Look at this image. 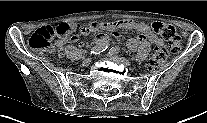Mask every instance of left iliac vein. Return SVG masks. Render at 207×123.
<instances>
[{
    "label": "left iliac vein",
    "mask_w": 207,
    "mask_h": 123,
    "mask_svg": "<svg viewBox=\"0 0 207 123\" xmlns=\"http://www.w3.org/2000/svg\"><path fill=\"white\" fill-rule=\"evenodd\" d=\"M106 57L114 62H117V63H120V64H123L125 66H130L131 65V62L124 58V57H121V56H118L116 54H112L111 52L107 53L106 54Z\"/></svg>",
    "instance_id": "4c4485c4"
}]
</instances>
